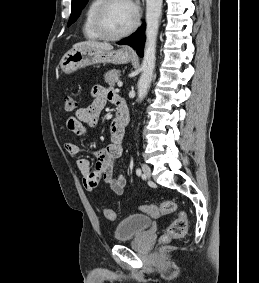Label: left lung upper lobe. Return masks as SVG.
<instances>
[{
	"mask_svg": "<svg viewBox=\"0 0 259 283\" xmlns=\"http://www.w3.org/2000/svg\"><path fill=\"white\" fill-rule=\"evenodd\" d=\"M88 0H72L71 15L68 26L71 25L79 16L81 10L84 8Z\"/></svg>",
	"mask_w": 259,
	"mask_h": 283,
	"instance_id": "1",
	"label": "left lung upper lobe"
}]
</instances>
